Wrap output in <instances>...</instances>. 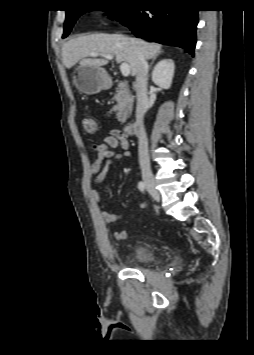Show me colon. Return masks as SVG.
Instances as JSON below:
<instances>
[{
  "label": "colon",
  "instance_id": "5ec220e1",
  "mask_svg": "<svg viewBox=\"0 0 254 355\" xmlns=\"http://www.w3.org/2000/svg\"><path fill=\"white\" fill-rule=\"evenodd\" d=\"M82 127L85 133L93 135L97 132L98 126L93 118L85 117L82 120Z\"/></svg>",
  "mask_w": 254,
  "mask_h": 355
}]
</instances>
